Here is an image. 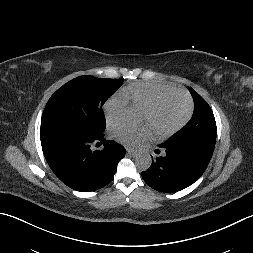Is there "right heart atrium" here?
Returning a JSON list of instances; mask_svg holds the SVG:
<instances>
[{"instance_id": "obj_1", "label": "right heart atrium", "mask_w": 253, "mask_h": 253, "mask_svg": "<svg viewBox=\"0 0 253 253\" xmlns=\"http://www.w3.org/2000/svg\"><path fill=\"white\" fill-rule=\"evenodd\" d=\"M127 107L128 102L121 94L107 99L103 107L107 124L109 126L120 124L124 120Z\"/></svg>"}]
</instances>
